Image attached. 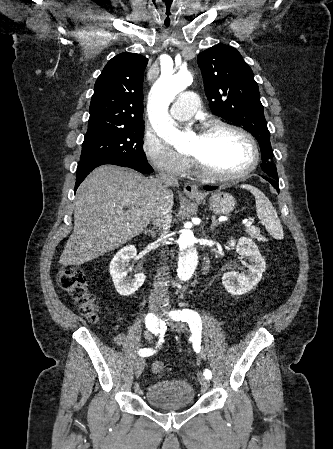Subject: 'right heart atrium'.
Returning a JSON list of instances; mask_svg holds the SVG:
<instances>
[{"mask_svg": "<svg viewBox=\"0 0 333 449\" xmlns=\"http://www.w3.org/2000/svg\"><path fill=\"white\" fill-rule=\"evenodd\" d=\"M142 149L147 161L161 173L181 177L190 167L188 157L174 150L154 133L145 134Z\"/></svg>", "mask_w": 333, "mask_h": 449, "instance_id": "obj_1", "label": "right heart atrium"}]
</instances>
